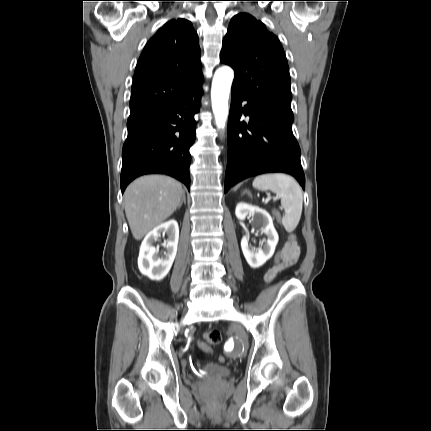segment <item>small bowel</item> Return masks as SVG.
<instances>
[{"mask_svg": "<svg viewBox=\"0 0 431 431\" xmlns=\"http://www.w3.org/2000/svg\"><path fill=\"white\" fill-rule=\"evenodd\" d=\"M302 242V239L299 236H296L293 240H288V244L283 245V256L277 260V263H272L269 267V272L265 275V281L271 282L274 278L282 273V270L294 265L299 256H300V248L299 244Z\"/></svg>", "mask_w": 431, "mask_h": 431, "instance_id": "c3829d8e", "label": "small bowel"}]
</instances>
